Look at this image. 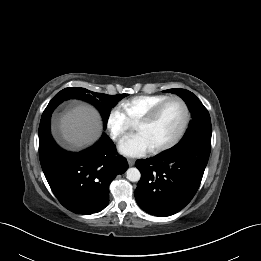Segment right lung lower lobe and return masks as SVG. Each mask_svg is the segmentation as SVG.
I'll return each instance as SVG.
<instances>
[{
    "mask_svg": "<svg viewBox=\"0 0 261 261\" xmlns=\"http://www.w3.org/2000/svg\"><path fill=\"white\" fill-rule=\"evenodd\" d=\"M52 112L43 113L39 126V158L51 190L59 202L77 214L90 215L109 203V185L128 168L108 135L78 153L60 148L50 133Z\"/></svg>",
    "mask_w": 261,
    "mask_h": 261,
    "instance_id": "obj_1",
    "label": "right lung lower lobe"
}]
</instances>
